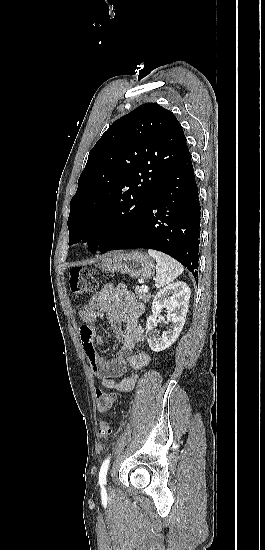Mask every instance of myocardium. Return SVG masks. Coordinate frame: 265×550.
<instances>
[{
	"label": "myocardium",
	"mask_w": 265,
	"mask_h": 550,
	"mask_svg": "<svg viewBox=\"0 0 265 550\" xmlns=\"http://www.w3.org/2000/svg\"><path fill=\"white\" fill-rule=\"evenodd\" d=\"M103 228H104V227H102V226L96 227L95 229H93V230L91 231V233H90L91 236H96V235H98V234L103 233V232H104V229H103Z\"/></svg>",
	"instance_id": "f54148a6"
}]
</instances>
